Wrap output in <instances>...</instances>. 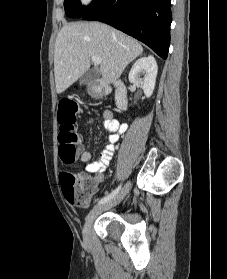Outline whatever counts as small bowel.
Segmentation results:
<instances>
[{
  "label": "small bowel",
  "mask_w": 227,
  "mask_h": 279,
  "mask_svg": "<svg viewBox=\"0 0 227 279\" xmlns=\"http://www.w3.org/2000/svg\"><path fill=\"white\" fill-rule=\"evenodd\" d=\"M102 117L104 120V127L109 132L108 143L105 145L104 149L100 152L98 161L90 162L92 154L88 150H82L80 155V160L86 163L83 170V175L89 176L93 175L96 177L98 183L104 180V171L107 169L110 160L115 151V144L119 140V135L127 130V125L125 123H120L116 119L112 118L110 111L104 110L102 112ZM83 147V146H81ZM69 202H72V196L67 195ZM74 201V200H73Z\"/></svg>",
  "instance_id": "1"
}]
</instances>
